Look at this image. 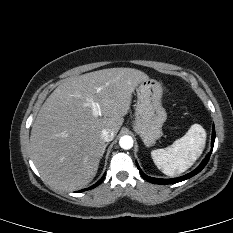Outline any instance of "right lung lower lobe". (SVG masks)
<instances>
[{"label": "right lung lower lobe", "instance_id": "obj_1", "mask_svg": "<svg viewBox=\"0 0 233 233\" xmlns=\"http://www.w3.org/2000/svg\"><path fill=\"white\" fill-rule=\"evenodd\" d=\"M102 180H103V178L100 179L95 185H93V186H91V187H89V188L83 189V190H81V191H86V190H88V189L95 188L96 186H98V185L102 182Z\"/></svg>", "mask_w": 233, "mask_h": 233}]
</instances>
